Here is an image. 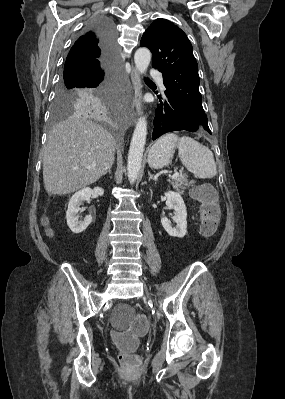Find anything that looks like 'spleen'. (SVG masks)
I'll return each instance as SVG.
<instances>
[{"mask_svg": "<svg viewBox=\"0 0 285 399\" xmlns=\"http://www.w3.org/2000/svg\"><path fill=\"white\" fill-rule=\"evenodd\" d=\"M178 149L182 164L195 177L205 179L212 178L217 174L214 156L208 147L191 137L184 136L179 139Z\"/></svg>", "mask_w": 285, "mask_h": 399, "instance_id": "spleen-1", "label": "spleen"}]
</instances>
